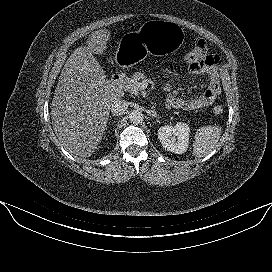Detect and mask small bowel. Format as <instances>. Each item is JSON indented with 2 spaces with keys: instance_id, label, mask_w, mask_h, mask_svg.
I'll use <instances>...</instances> for the list:
<instances>
[{
  "instance_id": "small-bowel-1",
  "label": "small bowel",
  "mask_w": 272,
  "mask_h": 272,
  "mask_svg": "<svg viewBox=\"0 0 272 272\" xmlns=\"http://www.w3.org/2000/svg\"><path fill=\"white\" fill-rule=\"evenodd\" d=\"M196 48L203 50V56L199 61L190 65L188 69V74L190 77L207 74L209 76L208 87L205 92L193 98H185L176 94L169 95L166 101L168 105L173 108L184 110H195L203 108L212 104L216 99L217 95L220 93L221 87L218 72L220 64L219 57L208 51L207 46L205 45L203 40L197 41ZM168 69L174 74L179 73V71L172 66Z\"/></svg>"
}]
</instances>
